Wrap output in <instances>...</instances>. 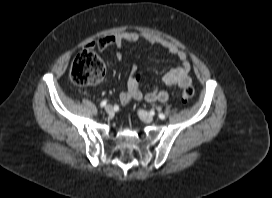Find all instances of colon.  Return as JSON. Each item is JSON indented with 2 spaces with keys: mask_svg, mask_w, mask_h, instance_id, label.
<instances>
[{
  "mask_svg": "<svg viewBox=\"0 0 272 198\" xmlns=\"http://www.w3.org/2000/svg\"><path fill=\"white\" fill-rule=\"evenodd\" d=\"M104 73L105 67L98 55L90 49H84L72 62L70 79L76 86L84 87L100 82ZM181 96L185 101L190 100L194 96L193 88H184Z\"/></svg>",
  "mask_w": 272,
  "mask_h": 198,
  "instance_id": "colon-1",
  "label": "colon"
}]
</instances>
